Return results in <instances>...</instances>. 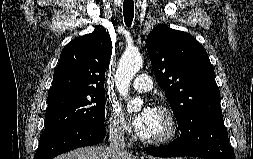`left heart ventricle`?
Returning a JSON list of instances; mask_svg holds the SVG:
<instances>
[{
	"label": "left heart ventricle",
	"instance_id": "b2bd125f",
	"mask_svg": "<svg viewBox=\"0 0 253 159\" xmlns=\"http://www.w3.org/2000/svg\"><path fill=\"white\" fill-rule=\"evenodd\" d=\"M167 131V123L165 117L157 110L154 109L152 117L148 121L146 127L142 132L146 137H159Z\"/></svg>",
	"mask_w": 253,
	"mask_h": 159
}]
</instances>
